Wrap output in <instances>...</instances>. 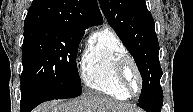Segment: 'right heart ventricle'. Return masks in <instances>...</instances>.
<instances>
[{
    "instance_id": "1",
    "label": "right heart ventricle",
    "mask_w": 193,
    "mask_h": 112,
    "mask_svg": "<svg viewBox=\"0 0 193 112\" xmlns=\"http://www.w3.org/2000/svg\"><path fill=\"white\" fill-rule=\"evenodd\" d=\"M127 54L120 37L110 28L98 30L90 39L83 56L80 76L90 90L124 100L130 95L116 75L117 60Z\"/></svg>"
}]
</instances>
